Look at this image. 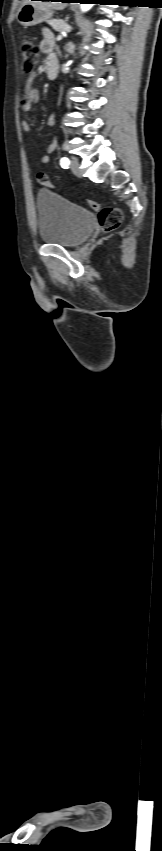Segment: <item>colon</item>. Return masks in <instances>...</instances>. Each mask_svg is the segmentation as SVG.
<instances>
[{"mask_svg":"<svg viewBox=\"0 0 162 851\" xmlns=\"http://www.w3.org/2000/svg\"><path fill=\"white\" fill-rule=\"evenodd\" d=\"M20 48L23 69L30 73L35 68L38 60V50L34 39L29 36L23 37ZM37 181L43 186H50L49 178L43 172L37 174ZM87 203L91 209L99 211V223L104 231H113L120 226L123 214L119 208L111 206L101 208L100 203L94 199H88Z\"/></svg>","mask_w":162,"mask_h":851,"instance_id":"5ec220e1","label":"colon"}]
</instances>
